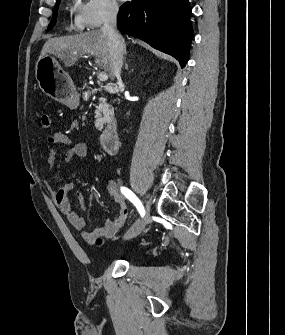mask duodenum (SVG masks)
Masks as SVG:
<instances>
[{
  "instance_id": "1",
  "label": "duodenum",
  "mask_w": 285,
  "mask_h": 335,
  "mask_svg": "<svg viewBox=\"0 0 285 335\" xmlns=\"http://www.w3.org/2000/svg\"><path fill=\"white\" fill-rule=\"evenodd\" d=\"M104 90L108 93L116 94L118 93V87L114 84H108L104 87ZM90 92H86L85 95L88 96ZM100 144L103 150L110 155L115 154L119 148V132L118 124L115 119L110 120L102 129L100 133Z\"/></svg>"
}]
</instances>
